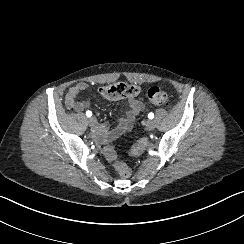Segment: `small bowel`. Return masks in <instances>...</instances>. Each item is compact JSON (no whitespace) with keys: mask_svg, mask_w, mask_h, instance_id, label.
Returning a JSON list of instances; mask_svg holds the SVG:
<instances>
[{"mask_svg":"<svg viewBox=\"0 0 244 244\" xmlns=\"http://www.w3.org/2000/svg\"><path fill=\"white\" fill-rule=\"evenodd\" d=\"M87 89V84L84 82H79L73 85L65 95V107L69 110H74L76 112H83L88 106L89 102L87 101H78L77 97L79 94L84 92ZM128 105V109L124 115L120 118L119 124L114 129H107L106 126L100 125L98 127V134L100 138L107 140H114L119 137L121 134L129 131L136 117L143 111L144 103L141 99L137 97H129L124 100Z\"/></svg>","mask_w":244,"mask_h":244,"instance_id":"obj_1","label":"small bowel"}]
</instances>
